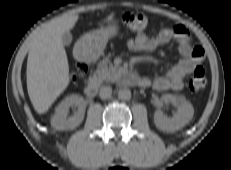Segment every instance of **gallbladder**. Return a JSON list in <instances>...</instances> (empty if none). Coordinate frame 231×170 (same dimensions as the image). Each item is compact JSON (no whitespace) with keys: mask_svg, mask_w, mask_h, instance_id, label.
I'll return each mask as SVG.
<instances>
[{"mask_svg":"<svg viewBox=\"0 0 231 170\" xmlns=\"http://www.w3.org/2000/svg\"><path fill=\"white\" fill-rule=\"evenodd\" d=\"M72 42V35L70 32H65L62 36V43L64 46H69Z\"/></svg>","mask_w":231,"mask_h":170,"instance_id":"obj_1","label":"gallbladder"}]
</instances>
